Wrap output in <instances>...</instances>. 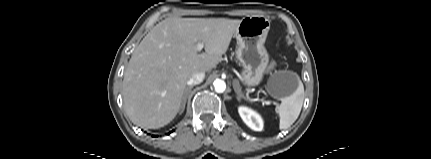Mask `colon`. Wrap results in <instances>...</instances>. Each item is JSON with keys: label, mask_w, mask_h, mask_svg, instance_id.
Listing matches in <instances>:
<instances>
[{"label": "colon", "mask_w": 431, "mask_h": 159, "mask_svg": "<svg viewBox=\"0 0 431 159\" xmlns=\"http://www.w3.org/2000/svg\"><path fill=\"white\" fill-rule=\"evenodd\" d=\"M273 66H274V64H273V63H271V64H270V66H269V69H272V68H273Z\"/></svg>", "instance_id": "5ec220e1"}]
</instances>
